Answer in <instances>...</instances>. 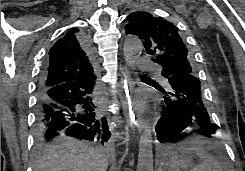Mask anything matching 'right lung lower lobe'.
Listing matches in <instances>:
<instances>
[{
  "mask_svg": "<svg viewBox=\"0 0 245 171\" xmlns=\"http://www.w3.org/2000/svg\"><path fill=\"white\" fill-rule=\"evenodd\" d=\"M83 47L92 53L82 38ZM96 75L51 87L38 86L36 137L38 140L67 135L77 139L106 142L110 131L98 107Z\"/></svg>",
  "mask_w": 245,
  "mask_h": 171,
  "instance_id": "98d812e1",
  "label": "right lung lower lobe"
}]
</instances>
